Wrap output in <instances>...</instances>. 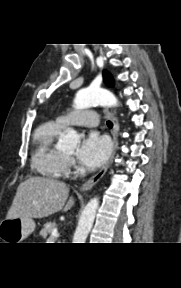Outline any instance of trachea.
Returning a JSON list of instances; mask_svg holds the SVG:
<instances>
[{
    "instance_id": "1",
    "label": "trachea",
    "mask_w": 181,
    "mask_h": 288,
    "mask_svg": "<svg viewBox=\"0 0 181 288\" xmlns=\"http://www.w3.org/2000/svg\"><path fill=\"white\" fill-rule=\"evenodd\" d=\"M107 126H108L109 128H112V127H113V123H112L111 121H107Z\"/></svg>"
}]
</instances>
